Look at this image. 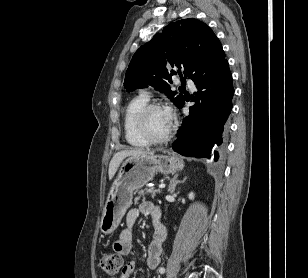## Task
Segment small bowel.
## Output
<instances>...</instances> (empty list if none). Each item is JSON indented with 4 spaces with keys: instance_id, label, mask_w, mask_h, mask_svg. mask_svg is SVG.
Listing matches in <instances>:
<instances>
[{
    "instance_id": "obj_1",
    "label": "small bowel",
    "mask_w": 308,
    "mask_h": 278,
    "mask_svg": "<svg viewBox=\"0 0 308 278\" xmlns=\"http://www.w3.org/2000/svg\"><path fill=\"white\" fill-rule=\"evenodd\" d=\"M140 215L150 216L153 219L154 235L149 244L147 266L156 269L160 264L162 244L166 238V229L160 221L161 211L152 202L145 201L138 208L131 209L126 216V228L121 231L118 239L113 244L116 253L129 258L116 278H132L135 269L136 254L133 249V227Z\"/></svg>"
}]
</instances>
